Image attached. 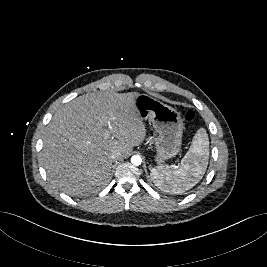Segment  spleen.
Segmentation results:
<instances>
[{"mask_svg": "<svg viewBox=\"0 0 267 267\" xmlns=\"http://www.w3.org/2000/svg\"><path fill=\"white\" fill-rule=\"evenodd\" d=\"M209 159V138L204 128L193 137L190 149L183 157L179 168L158 167L151 170L157 187L165 192L179 194L191 189L203 177Z\"/></svg>", "mask_w": 267, "mask_h": 267, "instance_id": "1", "label": "spleen"}]
</instances>
